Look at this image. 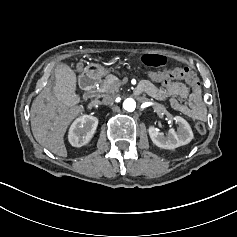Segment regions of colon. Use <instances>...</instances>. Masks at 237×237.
<instances>
[{
  "mask_svg": "<svg viewBox=\"0 0 237 237\" xmlns=\"http://www.w3.org/2000/svg\"><path fill=\"white\" fill-rule=\"evenodd\" d=\"M141 62L149 67L161 68L166 65V57L158 54H145L141 57ZM194 76L193 72L189 68H177L175 69L165 82H169L173 79H190ZM195 129L199 134L206 133V125L203 122H197Z\"/></svg>",
  "mask_w": 237,
  "mask_h": 237,
  "instance_id": "colon-1",
  "label": "colon"
}]
</instances>
